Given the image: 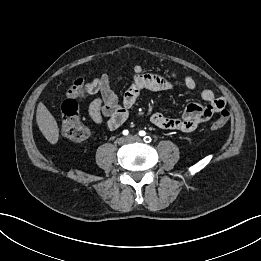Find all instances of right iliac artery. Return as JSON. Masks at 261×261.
Returning a JSON list of instances; mask_svg holds the SVG:
<instances>
[{
  "label": "right iliac artery",
  "mask_w": 261,
  "mask_h": 261,
  "mask_svg": "<svg viewBox=\"0 0 261 261\" xmlns=\"http://www.w3.org/2000/svg\"><path fill=\"white\" fill-rule=\"evenodd\" d=\"M128 134H129L128 130H124V131H123V135L126 136V135H128Z\"/></svg>",
  "instance_id": "right-iliac-artery-1"
}]
</instances>
